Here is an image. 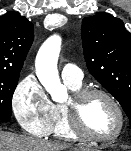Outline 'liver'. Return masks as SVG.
<instances>
[{
  "label": "liver",
  "instance_id": "obj_1",
  "mask_svg": "<svg viewBox=\"0 0 131 151\" xmlns=\"http://www.w3.org/2000/svg\"><path fill=\"white\" fill-rule=\"evenodd\" d=\"M70 146L58 142H49L27 136H18L0 130V151H63ZM74 151H85L75 148Z\"/></svg>",
  "mask_w": 131,
  "mask_h": 151
}]
</instances>
